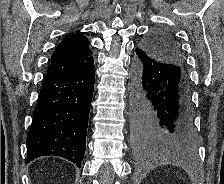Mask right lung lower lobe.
<instances>
[{
	"instance_id": "1",
	"label": "right lung lower lobe",
	"mask_w": 224,
	"mask_h": 184,
	"mask_svg": "<svg viewBox=\"0 0 224 184\" xmlns=\"http://www.w3.org/2000/svg\"><path fill=\"white\" fill-rule=\"evenodd\" d=\"M94 80L93 62L79 71L46 75L26 140V163L39 156L55 155L80 167Z\"/></svg>"
}]
</instances>
